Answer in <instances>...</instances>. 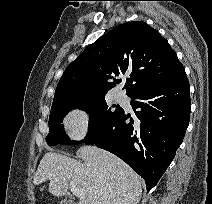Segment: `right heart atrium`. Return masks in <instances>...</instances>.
<instances>
[{
    "label": "right heart atrium",
    "instance_id": "1",
    "mask_svg": "<svg viewBox=\"0 0 212 204\" xmlns=\"http://www.w3.org/2000/svg\"><path fill=\"white\" fill-rule=\"evenodd\" d=\"M94 115L83 106L73 107L64 118V127L68 137L75 142L85 140L91 133Z\"/></svg>",
    "mask_w": 212,
    "mask_h": 204
}]
</instances>
